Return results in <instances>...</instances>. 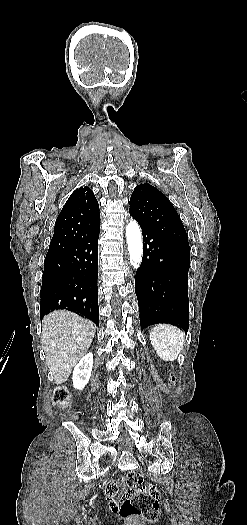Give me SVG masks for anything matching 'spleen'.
<instances>
[{"mask_svg":"<svg viewBox=\"0 0 247 525\" xmlns=\"http://www.w3.org/2000/svg\"><path fill=\"white\" fill-rule=\"evenodd\" d=\"M149 339L158 357L163 361H176L184 345V333L172 325H155Z\"/></svg>","mask_w":247,"mask_h":525,"instance_id":"spleen-1","label":"spleen"}]
</instances>
